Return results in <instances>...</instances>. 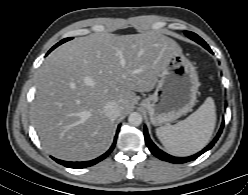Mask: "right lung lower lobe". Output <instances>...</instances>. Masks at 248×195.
Instances as JSON below:
<instances>
[{"instance_id": "right-lung-lower-lobe-1", "label": "right lung lower lobe", "mask_w": 248, "mask_h": 195, "mask_svg": "<svg viewBox=\"0 0 248 195\" xmlns=\"http://www.w3.org/2000/svg\"><path fill=\"white\" fill-rule=\"evenodd\" d=\"M119 130H120V126H118L117 133H116V136H115V139H114V142H113L111 148L106 153H104L103 155H101L100 157H98L96 159H93V160H90V161H84V162H68V161H63V160H59V159H56V158H53V159L57 163H59L61 165H64V166H66L68 168H78V169H80V168H85V167L95 165L98 162H100L103 159H105L111 153V151L114 149L115 144H116V138L118 136Z\"/></svg>"}]
</instances>
